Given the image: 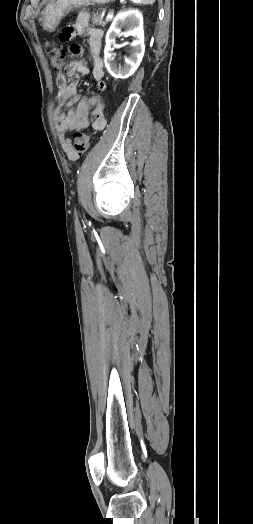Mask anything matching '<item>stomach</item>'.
I'll use <instances>...</instances> for the list:
<instances>
[{
  "mask_svg": "<svg viewBox=\"0 0 253 524\" xmlns=\"http://www.w3.org/2000/svg\"><path fill=\"white\" fill-rule=\"evenodd\" d=\"M111 1L113 0H50L42 11V27L48 32H53L71 10L89 4H105Z\"/></svg>",
  "mask_w": 253,
  "mask_h": 524,
  "instance_id": "1",
  "label": "stomach"
}]
</instances>
